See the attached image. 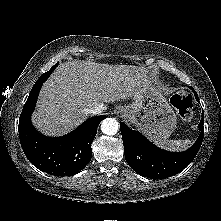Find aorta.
Instances as JSON below:
<instances>
[{"mask_svg": "<svg viewBox=\"0 0 221 221\" xmlns=\"http://www.w3.org/2000/svg\"><path fill=\"white\" fill-rule=\"evenodd\" d=\"M101 130L106 135H115L119 130V123L115 118H106L102 121Z\"/></svg>", "mask_w": 221, "mask_h": 221, "instance_id": "aorta-1", "label": "aorta"}]
</instances>
